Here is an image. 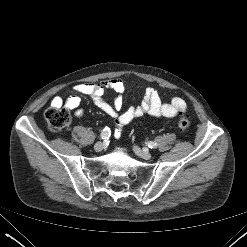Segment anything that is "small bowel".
<instances>
[{
  "instance_id": "obj_1",
  "label": "small bowel",
  "mask_w": 247,
  "mask_h": 247,
  "mask_svg": "<svg viewBox=\"0 0 247 247\" xmlns=\"http://www.w3.org/2000/svg\"><path fill=\"white\" fill-rule=\"evenodd\" d=\"M76 94L70 95L65 101L56 96L52 99V106H65L74 109L79 106L81 98L79 95L89 96L94 104L104 113L116 120L115 136L119 137L118 132L121 127L129 124L136 118L148 114L155 118L166 117L173 118L186 111V102L180 97H174L170 102H163L158 91L154 88H147L143 98L138 105H131L127 109L123 108L122 94L125 90L124 82L119 78L103 80L99 83H79L74 86ZM107 90L115 92L113 104L106 102L103 95ZM81 109L76 110L75 115L78 118L83 116Z\"/></svg>"
}]
</instances>
